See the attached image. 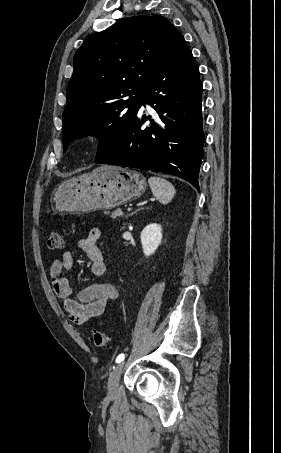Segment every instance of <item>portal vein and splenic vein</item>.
I'll list each match as a JSON object with an SVG mask.
<instances>
[{
    "label": "portal vein and splenic vein",
    "mask_w": 281,
    "mask_h": 453,
    "mask_svg": "<svg viewBox=\"0 0 281 453\" xmlns=\"http://www.w3.org/2000/svg\"><path fill=\"white\" fill-rule=\"evenodd\" d=\"M133 210H134V209H133V207H131V206L127 208V211L130 212V213L133 212Z\"/></svg>",
    "instance_id": "1"
}]
</instances>
